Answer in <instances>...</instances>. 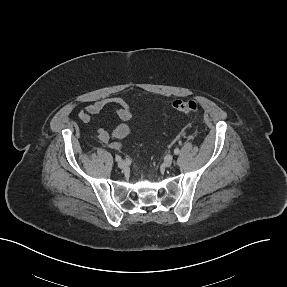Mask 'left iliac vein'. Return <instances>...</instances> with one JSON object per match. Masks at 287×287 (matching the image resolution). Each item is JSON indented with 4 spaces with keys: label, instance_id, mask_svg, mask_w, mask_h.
<instances>
[{
    "label": "left iliac vein",
    "instance_id": "obj_1",
    "mask_svg": "<svg viewBox=\"0 0 287 287\" xmlns=\"http://www.w3.org/2000/svg\"><path fill=\"white\" fill-rule=\"evenodd\" d=\"M172 163H173V159L172 158H168V159H166L164 161L163 166L168 168V167H170L172 165Z\"/></svg>",
    "mask_w": 287,
    "mask_h": 287
}]
</instances>
